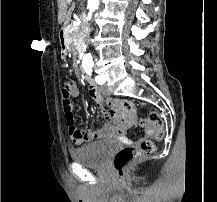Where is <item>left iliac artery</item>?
<instances>
[{"label":"left iliac artery","mask_w":217,"mask_h":202,"mask_svg":"<svg viewBox=\"0 0 217 202\" xmlns=\"http://www.w3.org/2000/svg\"><path fill=\"white\" fill-rule=\"evenodd\" d=\"M90 75H91V73H90ZM95 81H96V83H98L99 85H102V84L105 83V80H104L101 76H96V77H95Z\"/></svg>","instance_id":"44dca946"}]
</instances>
